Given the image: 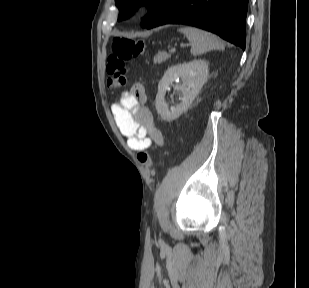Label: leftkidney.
<instances>
[{
    "label": "left kidney",
    "instance_id": "1",
    "mask_svg": "<svg viewBox=\"0 0 309 288\" xmlns=\"http://www.w3.org/2000/svg\"><path fill=\"white\" fill-rule=\"evenodd\" d=\"M208 72L207 62L201 59L168 68L158 84V94L155 101L156 110L161 118L172 121L186 112L206 83ZM178 78L182 80V84H176L173 87L174 90L182 92V102L169 108L165 102V94Z\"/></svg>",
    "mask_w": 309,
    "mask_h": 288
}]
</instances>
